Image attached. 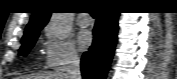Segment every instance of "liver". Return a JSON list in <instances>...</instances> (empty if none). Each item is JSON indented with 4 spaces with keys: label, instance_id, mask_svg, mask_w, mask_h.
<instances>
[{
    "label": "liver",
    "instance_id": "6515ba94",
    "mask_svg": "<svg viewBox=\"0 0 177 79\" xmlns=\"http://www.w3.org/2000/svg\"><path fill=\"white\" fill-rule=\"evenodd\" d=\"M19 79H69L67 74L62 72H47L29 76H20Z\"/></svg>",
    "mask_w": 177,
    "mask_h": 79
}]
</instances>
